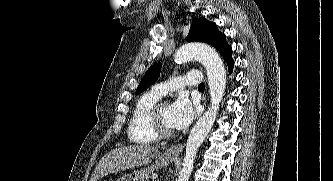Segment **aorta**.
<instances>
[{
    "instance_id": "1",
    "label": "aorta",
    "mask_w": 333,
    "mask_h": 181,
    "mask_svg": "<svg viewBox=\"0 0 333 181\" xmlns=\"http://www.w3.org/2000/svg\"><path fill=\"white\" fill-rule=\"evenodd\" d=\"M196 59L205 67L210 91V106L193 126L186 144L183 166L178 181H189L198 148L210 132L224 96L226 71L219 54L210 46L200 43L182 46L175 54L178 63Z\"/></svg>"
}]
</instances>
